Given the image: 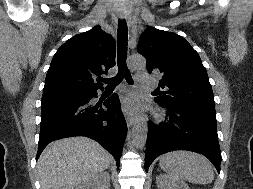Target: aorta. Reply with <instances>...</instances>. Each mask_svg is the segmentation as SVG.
I'll list each match as a JSON object with an SVG mask.
<instances>
[{
  "instance_id": "762f6f07",
  "label": "aorta",
  "mask_w": 253,
  "mask_h": 189,
  "mask_svg": "<svg viewBox=\"0 0 253 189\" xmlns=\"http://www.w3.org/2000/svg\"><path fill=\"white\" fill-rule=\"evenodd\" d=\"M130 65L133 68H142L146 65V61L142 56H132L130 58ZM148 135V126L144 118H139L132 131L133 143L137 148H142L146 144Z\"/></svg>"
}]
</instances>
